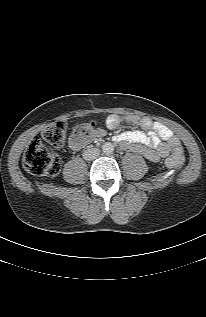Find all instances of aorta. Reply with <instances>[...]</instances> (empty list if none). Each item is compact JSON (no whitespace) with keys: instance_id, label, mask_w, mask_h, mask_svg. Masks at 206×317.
Returning a JSON list of instances; mask_svg holds the SVG:
<instances>
[{"instance_id":"762f6f07","label":"aorta","mask_w":206,"mask_h":317,"mask_svg":"<svg viewBox=\"0 0 206 317\" xmlns=\"http://www.w3.org/2000/svg\"><path fill=\"white\" fill-rule=\"evenodd\" d=\"M102 151L105 153V154H112L113 151H114V146L112 143L110 142H106L103 144L102 146Z\"/></svg>"}]
</instances>
